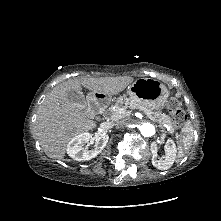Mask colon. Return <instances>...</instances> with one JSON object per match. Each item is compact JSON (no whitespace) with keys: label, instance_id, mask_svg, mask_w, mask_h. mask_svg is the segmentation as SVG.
Wrapping results in <instances>:
<instances>
[{"label":"colon","instance_id":"colon-1","mask_svg":"<svg viewBox=\"0 0 221 221\" xmlns=\"http://www.w3.org/2000/svg\"><path fill=\"white\" fill-rule=\"evenodd\" d=\"M167 110L171 113V115L174 118V122L177 125H181L185 122L186 120V114L185 112L181 109L178 101L174 98H171L167 102Z\"/></svg>","mask_w":221,"mask_h":221}]
</instances>
